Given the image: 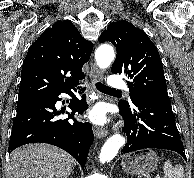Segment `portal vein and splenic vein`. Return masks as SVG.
<instances>
[{
    "label": "portal vein and splenic vein",
    "mask_w": 194,
    "mask_h": 178,
    "mask_svg": "<svg viewBox=\"0 0 194 178\" xmlns=\"http://www.w3.org/2000/svg\"><path fill=\"white\" fill-rule=\"evenodd\" d=\"M155 178H160V176H156Z\"/></svg>",
    "instance_id": "18ae733b"
}]
</instances>
